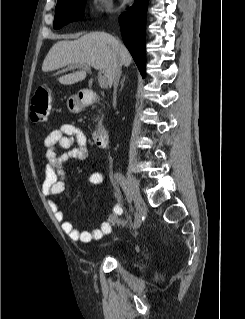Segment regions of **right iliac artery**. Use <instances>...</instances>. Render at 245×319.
Listing matches in <instances>:
<instances>
[{
    "instance_id": "1",
    "label": "right iliac artery",
    "mask_w": 245,
    "mask_h": 319,
    "mask_svg": "<svg viewBox=\"0 0 245 319\" xmlns=\"http://www.w3.org/2000/svg\"><path fill=\"white\" fill-rule=\"evenodd\" d=\"M115 179L116 181L120 184V186L123 188V190L125 191L126 190V186H125V178L122 174L120 173H115ZM126 193V192H125ZM127 195V194H126ZM127 199H128V202L131 203L132 201V198L130 196L127 195ZM140 226V220L139 219H136L135 220V224H134V227L135 228H138Z\"/></svg>"
}]
</instances>
